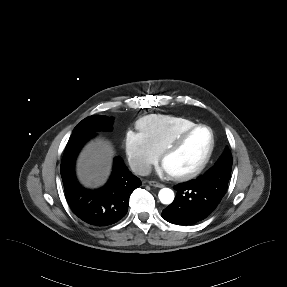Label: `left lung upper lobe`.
Returning a JSON list of instances; mask_svg holds the SVG:
<instances>
[{"label":"left lung upper lobe","mask_w":287,"mask_h":287,"mask_svg":"<svg viewBox=\"0 0 287 287\" xmlns=\"http://www.w3.org/2000/svg\"><path fill=\"white\" fill-rule=\"evenodd\" d=\"M231 168H232L231 152L229 148L226 147L225 151L223 152L222 156L218 159L216 164L200 177L209 178V176L211 175L210 173L213 170L219 169L222 170V172L225 173V175L230 179Z\"/></svg>","instance_id":"obj_1"}]
</instances>
